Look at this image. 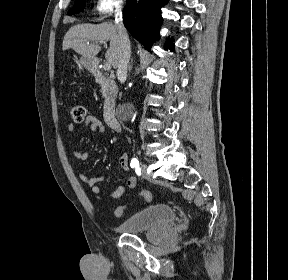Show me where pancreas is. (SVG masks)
Masks as SVG:
<instances>
[{
  "instance_id": "cf45deb5",
  "label": "pancreas",
  "mask_w": 288,
  "mask_h": 280,
  "mask_svg": "<svg viewBox=\"0 0 288 280\" xmlns=\"http://www.w3.org/2000/svg\"><path fill=\"white\" fill-rule=\"evenodd\" d=\"M101 93L103 97L107 96L106 90L104 88L101 89Z\"/></svg>"
}]
</instances>
